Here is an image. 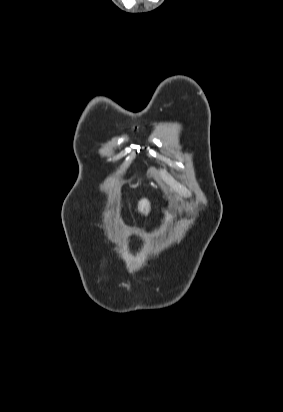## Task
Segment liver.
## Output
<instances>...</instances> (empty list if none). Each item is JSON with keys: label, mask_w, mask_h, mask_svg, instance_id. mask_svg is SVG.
Listing matches in <instances>:
<instances>
[{"label": "liver", "mask_w": 283, "mask_h": 412, "mask_svg": "<svg viewBox=\"0 0 283 412\" xmlns=\"http://www.w3.org/2000/svg\"><path fill=\"white\" fill-rule=\"evenodd\" d=\"M150 209H151L150 202L146 198H143L138 202V210L144 215L147 216L148 213L150 212Z\"/></svg>", "instance_id": "1"}]
</instances>
